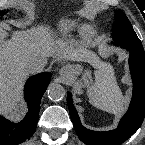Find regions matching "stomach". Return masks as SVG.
Instances as JSON below:
<instances>
[{
    "label": "stomach",
    "instance_id": "obj_1",
    "mask_svg": "<svg viewBox=\"0 0 145 145\" xmlns=\"http://www.w3.org/2000/svg\"><path fill=\"white\" fill-rule=\"evenodd\" d=\"M68 69H69L71 77L74 79L77 78V76L80 75L83 71L82 66L79 64L68 65ZM82 74H83V76H82L81 80L79 81V83L89 86V84L91 83L90 72L85 71Z\"/></svg>",
    "mask_w": 145,
    "mask_h": 145
}]
</instances>
